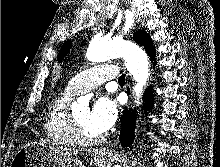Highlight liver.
Returning a JSON list of instances; mask_svg holds the SVG:
<instances>
[{
    "label": "liver",
    "instance_id": "obj_1",
    "mask_svg": "<svg viewBox=\"0 0 220 167\" xmlns=\"http://www.w3.org/2000/svg\"><path fill=\"white\" fill-rule=\"evenodd\" d=\"M32 144L49 148L59 158L72 157V155L77 153V150L74 148L58 146L48 139H39Z\"/></svg>",
    "mask_w": 220,
    "mask_h": 167
}]
</instances>
